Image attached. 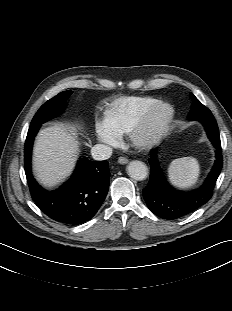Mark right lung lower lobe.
<instances>
[{"instance_id": "obj_1", "label": "right lung lower lobe", "mask_w": 232, "mask_h": 311, "mask_svg": "<svg viewBox=\"0 0 232 311\" xmlns=\"http://www.w3.org/2000/svg\"><path fill=\"white\" fill-rule=\"evenodd\" d=\"M40 126L30 127L25 142V173L32 199L53 220L71 225L82 224L97 213L107 195L109 163L80 159L65 184L55 191L44 190L31 172L32 146Z\"/></svg>"}]
</instances>
